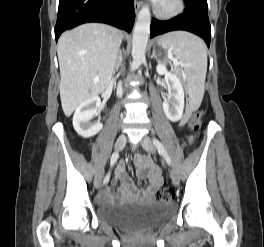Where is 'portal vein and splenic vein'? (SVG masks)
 Returning <instances> with one entry per match:
<instances>
[{"label": "portal vein and splenic vein", "mask_w": 264, "mask_h": 247, "mask_svg": "<svg viewBox=\"0 0 264 247\" xmlns=\"http://www.w3.org/2000/svg\"><path fill=\"white\" fill-rule=\"evenodd\" d=\"M174 66L177 67L178 66V62L174 61Z\"/></svg>", "instance_id": "obj_1"}]
</instances>
